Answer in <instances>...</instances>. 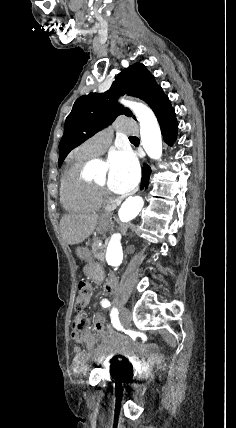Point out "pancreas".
Wrapping results in <instances>:
<instances>
[{"label": "pancreas", "instance_id": "1", "mask_svg": "<svg viewBox=\"0 0 236 428\" xmlns=\"http://www.w3.org/2000/svg\"><path fill=\"white\" fill-rule=\"evenodd\" d=\"M100 244V240H93L92 244V250H93V256L96 258V260H99V262H102L104 264L105 262V250H103L104 246H98Z\"/></svg>", "mask_w": 236, "mask_h": 428}]
</instances>
